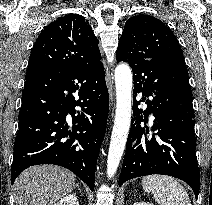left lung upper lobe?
<instances>
[{"mask_svg":"<svg viewBox=\"0 0 212 205\" xmlns=\"http://www.w3.org/2000/svg\"><path fill=\"white\" fill-rule=\"evenodd\" d=\"M117 61L130 66L141 59L163 58L185 65L183 52L173 32L153 16L139 14L125 24L116 51Z\"/></svg>","mask_w":212,"mask_h":205,"instance_id":"5c2ea615","label":"left lung upper lobe"}]
</instances>
